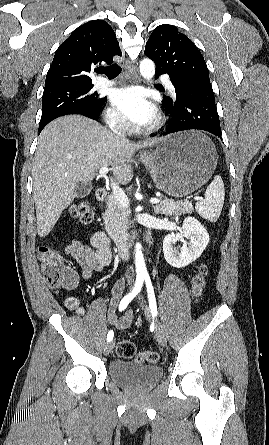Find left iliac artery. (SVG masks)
Returning a JSON list of instances; mask_svg holds the SVG:
<instances>
[{"label": "left iliac artery", "instance_id": "left-iliac-artery-1", "mask_svg": "<svg viewBox=\"0 0 269 445\" xmlns=\"http://www.w3.org/2000/svg\"><path fill=\"white\" fill-rule=\"evenodd\" d=\"M145 282H146L147 293H148L149 307L151 309L152 315L156 316L157 315L156 298H155V294H154L153 285L151 283V279L149 276H145Z\"/></svg>", "mask_w": 269, "mask_h": 445}]
</instances>
